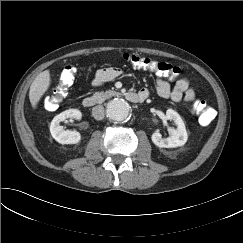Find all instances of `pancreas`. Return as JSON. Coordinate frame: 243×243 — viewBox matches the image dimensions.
<instances>
[{"instance_id": "cf45deb5", "label": "pancreas", "mask_w": 243, "mask_h": 243, "mask_svg": "<svg viewBox=\"0 0 243 243\" xmlns=\"http://www.w3.org/2000/svg\"><path fill=\"white\" fill-rule=\"evenodd\" d=\"M119 95L118 92L114 91V90H106L104 91H98L95 92L92 96L93 100H95L97 103H102L104 102L106 99L112 97V96H117Z\"/></svg>"}]
</instances>
